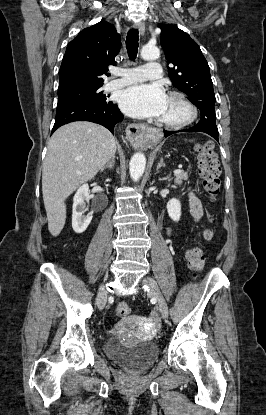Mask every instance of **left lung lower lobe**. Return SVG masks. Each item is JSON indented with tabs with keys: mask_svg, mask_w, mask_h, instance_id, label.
<instances>
[{
	"mask_svg": "<svg viewBox=\"0 0 266 415\" xmlns=\"http://www.w3.org/2000/svg\"><path fill=\"white\" fill-rule=\"evenodd\" d=\"M183 131H194L192 128L179 130V131H164L165 137H168L171 134L177 133V132H183ZM218 141V136H212Z\"/></svg>",
	"mask_w": 266,
	"mask_h": 415,
	"instance_id": "1",
	"label": "left lung lower lobe"
}]
</instances>
